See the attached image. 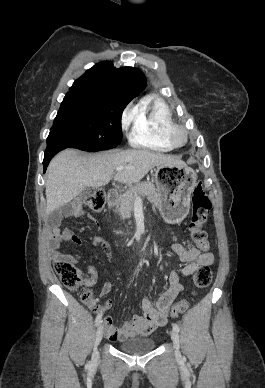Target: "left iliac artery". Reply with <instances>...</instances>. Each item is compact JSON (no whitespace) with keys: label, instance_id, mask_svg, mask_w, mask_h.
<instances>
[{"label":"left iliac artery","instance_id":"1","mask_svg":"<svg viewBox=\"0 0 265 388\" xmlns=\"http://www.w3.org/2000/svg\"><path fill=\"white\" fill-rule=\"evenodd\" d=\"M172 327H173V329H174L175 331H177V332L180 331V328H179V326H178L176 323L172 324Z\"/></svg>","mask_w":265,"mask_h":388}]
</instances>
